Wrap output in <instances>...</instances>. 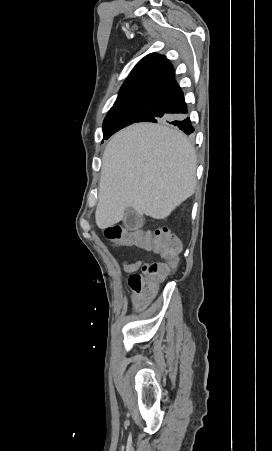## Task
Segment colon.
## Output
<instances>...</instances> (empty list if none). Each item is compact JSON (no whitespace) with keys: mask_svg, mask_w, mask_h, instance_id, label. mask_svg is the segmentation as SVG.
<instances>
[{"mask_svg":"<svg viewBox=\"0 0 272 451\" xmlns=\"http://www.w3.org/2000/svg\"><path fill=\"white\" fill-rule=\"evenodd\" d=\"M104 237L112 243L122 244H127L131 239L138 249H150L152 256L158 255L162 256L163 260H170L161 263L146 261L141 265L140 271L129 275L128 289H138L137 294L142 303H145L148 297H153V289H161L162 278H166L169 271H174L173 260H176L177 252L181 250L180 241L167 229L125 230L122 226L113 225L104 230Z\"/></svg>","mask_w":272,"mask_h":451,"instance_id":"5ec220e1","label":"colon"}]
</instances>
